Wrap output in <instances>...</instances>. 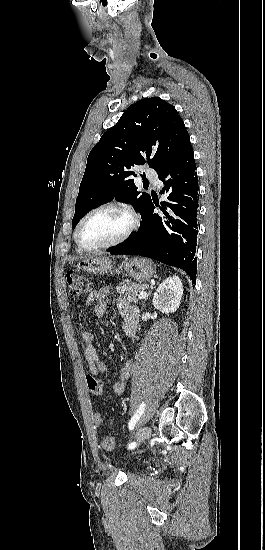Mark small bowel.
Returning a JSON list of instances; mask_svg holds the SVG:
<instances>
[{"instance_id": "1", "label": "small bowel", "mask_w": 265, "mask_h": 550, "mask_svg": "<svg viewBox=\"0 0 265 550\" xmlns=\"http://www.w3.org/2000/svg\"><path fill=\"white\" fill-rule=\"evenodd\" d=\"M108 294V288H100L92 292L86 299V305L95 304L94 313L96 316H103L106 313L108 309L106 301ZM116 305L122 319V329L124 333L130 338H137L138 308L130 304L125 298H119ZM82 339L85 342L84 358L89 365L91 375L95 377L101 373H108V369L101 362L100 355L93 345V334L91 332H84L82 334ZM131 368V362L126 360L118 371L114 373L117 379L113 385V391L116 395H121L124 392ZM102 394L103 391L101 388L100 396ZM96 415L97 414L94 415V423L96 425H101L102 417L100 416L101 419L97 421L95 419Z\"/></svg>"}]
</instances>
